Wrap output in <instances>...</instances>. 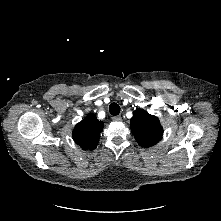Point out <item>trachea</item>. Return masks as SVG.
I'll return each instance as SVG.
<instances>
[{"mask_svg":"<svg viewBox=\"0 0 221 221\" xmlns=\"http://www.w3.org/2000/svg\"><path fill=\"white\" fill-rule=\"evenodd\" d=\"M110 114L113 116H117L120 113V106L117 103H111L109 106Z\"/></svg>","mask_w":221,"mask_h":221,"instance_id":"3493384b","label":"trachea"}]
</instances>
